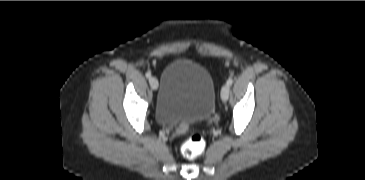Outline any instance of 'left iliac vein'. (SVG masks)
<instances>
[{
	"label": "left iliac vein",
	"instance_id": "4c4485c4",
	"mask_svg": "<svg viewBox=\"0 0 365 180\" xmlns=\"http://www.w3.org/2000/svg\"><path fill=\"white\" fill-rule=\"evenodd\" d=\"M230 93V86L228 84H225L221 89V100L223 102H226L229 98Z\"/></svg>",
	"mask_w": 365,
	"mask_h": 180
}]
</instances>
